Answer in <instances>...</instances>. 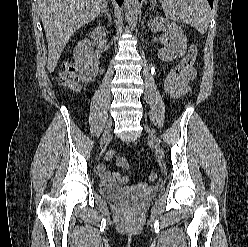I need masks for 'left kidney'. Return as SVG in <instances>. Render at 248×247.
Wrapping results in <instances>:
<instances>
[{"label": "left kidney", "instance_id": "left-kidney-1", "mask_svg": "<svg viewBox=\"0 0 248 247\" xmlns=\"http://www.w3.org/2000/svg\"><path fill=\"white\" fill-rule=\"evenodd\" d=\"M148 26L152 32H160L168 30L169 44L159 50L158 57L165 62L173 61L178 57H182L187 49V37L184 35L181 27L161 17H156L148 22Z\"/></svg>", "mask_w": 248, "mask_h": 247}]
</instances>
